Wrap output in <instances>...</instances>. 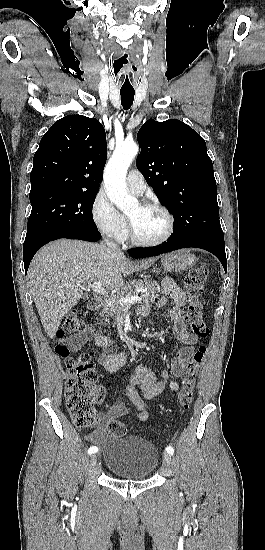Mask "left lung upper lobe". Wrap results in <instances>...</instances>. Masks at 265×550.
Listing matches in <instances>:
<instances>
[{
	"instance_id": "5c2ea615",
	"label": "left lung upper lobe",
	"mask_w": 265,
	"mask_h": 550,
	"mask_svg": "<svg viewBox=\"0 0 265 550\" xmlns=\"http://www.w3.org/2000/svg\"><path fill=\"white\" fill-rule=\"evenodd\" d=\"M138 141L137 168L174 217L168 240L199 239L225 246L205 140L179 120L149 119L140 128Z\"/></svg>"
}]
</instances>
